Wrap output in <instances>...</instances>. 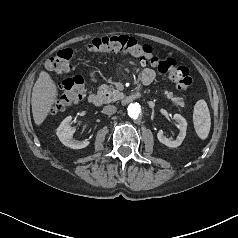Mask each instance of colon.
<instances>
[{
  "instance_id": "obj_1",
  "label": "colon",
  "mask_w": 238,
  "mask_h": 238,
  "mask_svg": "<svg viewBox=\"0 0 238 238\" xmlns=\"http://www.w3.org/2000/svg\"><path fill=\"white\" fill-rule=\"evenodd\" d=\"M90 53H123L139 55V59L155 67L181 91H188L193 79L187 67L179 65L171 57L164 56L145 43H139L134 37L126 35L102 36L92 39L86 46ZM73 50L66 48L50 57L45 66L57 74H67L72 69ZM85 97V80L80 74H75L62 83L61 90L53 102L50 111L59 113Z\"/></svg>"
}]
</instances>
